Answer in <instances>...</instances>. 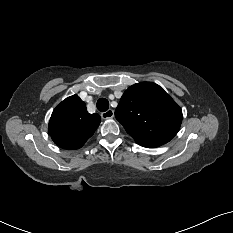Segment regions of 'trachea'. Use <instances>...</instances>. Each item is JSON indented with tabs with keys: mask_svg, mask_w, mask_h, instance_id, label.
I'll return each instance as SVG.
<instances>
[{
	"mask_svg": "<svg viewBox=\"0 0 233 233\" xmlns=\"http://www.w3.org/2000/svg\"><path fill=\"white\" fill-rule=\"evenodd\" d=\"M97 109L100 111V112H105L108 110L109 108V102L107 99L105 98H100L98 101H97Z\"/></svg>",
	"mask_w": 233,
	"mask_h": 233,
	"instance_id": "trachea-1",
	"label": "trachea"
}]
</instances>
